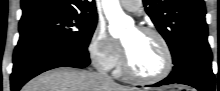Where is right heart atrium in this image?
I'll list each match as a JSON object with an SVG mask.
<instances>
[{"label":"right heart atrium","mask_w":220,"mask_h":91,"mask_svg":"<svg viewBox=\"0 0 220 91\" xmlns=\"http://www.w3.org/2000/svg\"><path fill=\"white\" fill-rule=\"evenodd\" d=\"M87 51L93 63L102 70L115 68L120 60V43L113 38L102 23H97L88 43Z\"/></svg>","instance_id":"1"}]
</instances>
